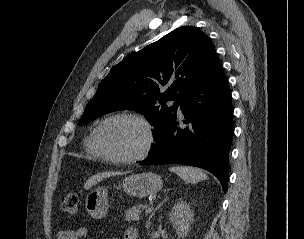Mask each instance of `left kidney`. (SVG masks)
Here are the masks:
<instances>
[{
	"label": "left kidney",
	"mask_w": 304,
	"mask_h": 239,
	"mask_svg": "<svg viewBox=\"0 0 304 239\" xmlns=\"http://www.w3.org/2000/svg\"><path fill=\"white\" fill-rule=\"evenodd\" d=\"M169 219L172 222L177 234L182 239L185 238L190 231V224L193 220V213L189 204L183 200H179L169 214Z\"/></svg>",
	"instance_id": "5707ae66"
}]
</instances>
